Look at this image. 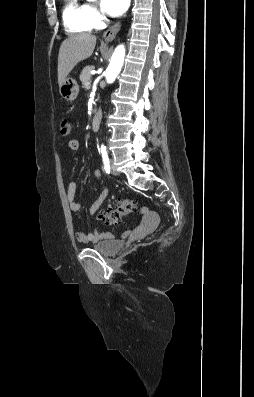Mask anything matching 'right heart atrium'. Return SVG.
I'll return each instance as SVG.
<instances>
[{"label": "right heart atrium", "mask_w": 254, "mask_h": 397, "mask_svg": "<svg viewBox=\"0 0 254 397\" xmlns=\"http://www.w3.org/2000/svg\"><path fill=\"white\" fill-rule=\"evenodd\" d=\"M88 18L93 28H98L102 25L104 16L95 5H87Z\"/></svg>", "instance_id": "d8ad5b80"}]
</instances>
